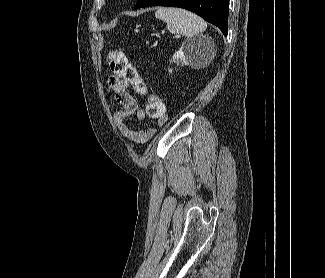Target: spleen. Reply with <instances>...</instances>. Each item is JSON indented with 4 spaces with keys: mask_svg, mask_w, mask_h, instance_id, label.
<instances>
[{
    "mask_svg": "<svg viewBox=\"0 0 325 278\" xmlns=\"http://www.w3.org/2000/svg\"><path fill=\"white\" fill-rule=\"evenodd\" d=\"M155 16L164 21L167 29L173 34L191 37L204 32L207 28L203 19L180 8L161 7L155 12Z\"/></svg>",
    "mask_w": 325,
    "mask_h": 278,
    "instance_id": "obj_1",
    "label": "spleen"
}]
</instances>
